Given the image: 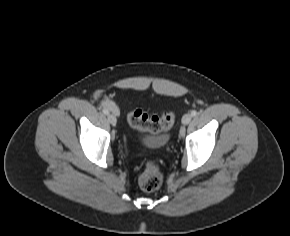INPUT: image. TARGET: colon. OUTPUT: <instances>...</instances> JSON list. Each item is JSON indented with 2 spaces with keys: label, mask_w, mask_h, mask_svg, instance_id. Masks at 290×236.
Instances as JSON below:
<instances>
[{
  "label": "colon",
  "mask_w": 290,
  "mask_h": 236,
  "mask_svg": "<svg viewBox=\"0 0 290 236\" xmlns=\"http://www.w3.org/2000/svg\"><path fill=\"white\" fill-rule=\"evenodd\" d=\"M129 124L140 130L151 133H159L169 130L174 123L172 112H165L161 116H149L140 109H134L128 114ZM163 173L158 163L148 162L139 177V185L142 190L152 192L161 187Z\"/></svg>",
  "instance_id": "obj_1"
}]
</instances>
